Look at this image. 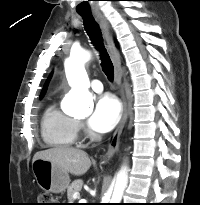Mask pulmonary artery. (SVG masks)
I'll list each match as a JSON object with an SVG mask.
<instances>
[{
	"instance_id": "pulmonary-artery-1",
	"label": "pulmonary artery",
	"mask_w": 200,
	"mask_h": 205,
	"mask_svg": "<svg viewBox=\"0 0 200 205\" xmlns=\"http://www.w3.org/2000/svg\"><path fill=\"white\" fill-rule=\"evenodd\" d=\"M91 88L93 91L100 93L103 91V85L101 83V81L95 79L91 82Z\"/></svg>"
}]
</instances>
